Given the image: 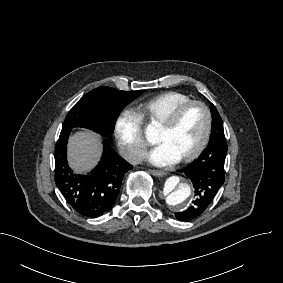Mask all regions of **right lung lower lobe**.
Listing matches in <instances>:
<instances>
[{"label":"right lung lower lobe","mask_w":283,"mask_h":283,"mask_svg":"<svg viewBox=\"0 0 283 283\" xmlns=\"http://www.w3.org/2000/svg\"><path fill=\"white\" fill-rule=\"evenodd\" d=\"M71 130L62 129L55 146V183L77 213L85 217H97L113 206L124 175L132 169V165L104 142L99 164L87 175L73 173L66 159Z\"/></svg>","instance_id":"right-lung-lower-lobe-1"}]
</instances>
